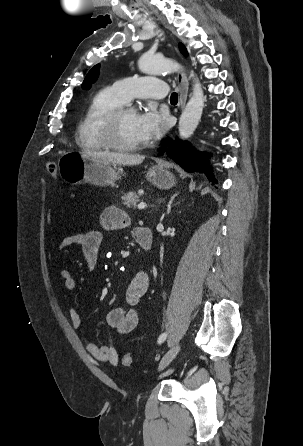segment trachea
Instances as JSON below:
<instances>
[{
	"label": "trachea",
	"mask_w": 303,
	"mask_h": 446,
	"mask_svg": "<svg viewBox=\"0 0 303 446\" xmlns=\"http://www.w3.org/2000/svg\"><path fill=\"white\" fill-rule=\"evenodd\" d=\"M170 102L171 103H177L178 102V94L177 93H172L171 97H170Z\"/></svg>",
	"instance_id": "obj_1"
}]
</instances>
